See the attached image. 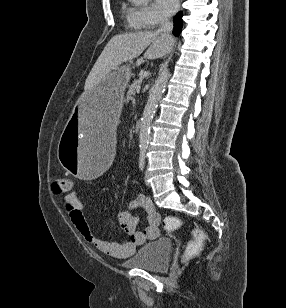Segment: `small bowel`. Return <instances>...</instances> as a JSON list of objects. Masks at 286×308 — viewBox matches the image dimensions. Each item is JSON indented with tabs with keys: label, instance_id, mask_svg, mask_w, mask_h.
Wrapping results in <instances>:
<instances>
[{
	"label": "small bowel",
	"instance_id": "1",
	"mask_svg": "<svg viewBox=\"0 0 286 308\" xmlns=\"http://www.w3.org/2000/svg\"><path fill=\"white\" fill-rule=\"evenodd\" d=\"M64 206L72 224L85 241L112 257H128L147 240H154L159 236L161 218L156 212L151 198L147 195H139L132 201L130 206L131 210L141 208L145 211L147 225L144 229L140 230L138 228L139 219L130 211L120 213V224L129 235L128 239L123 241H111L99 237L84 216L85 206L75 193L65 196Z\"/></svg>",
	"mask_w": 286,
	"mask_h": 308
}]
</instances>
